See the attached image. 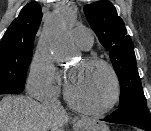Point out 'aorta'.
<instances>
[{"mask_svg":"<svg viewBox=\"0 0 151 131\" xmlns=\"http://www.w3.org/2000/svg\"><path fill=\"white\" fill-rule=\"evenodd\" d=\"M72 19V13L62 9L53 15L45 30L46 38L59 60H69L76 55L68 36V26Z\"/></svg>","mask_w":151,"mask_h":131,"instance_id":"1","label":"aorta"}]
</instances>
